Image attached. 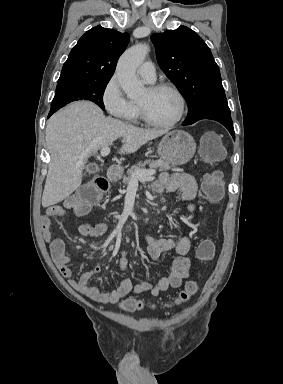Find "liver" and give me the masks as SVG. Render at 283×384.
<instances>
[{
    "label": "liver",
    "instance_id": "1",
    "mask_svg": "<svg viewBox=\"0 0 283 384\" xmlns=\"http://www.w3.org/2000/svg\"><path fill=\"white\" fill-rule=\"evenodd\" d=\"M168 130H143L114 118L86 100L69 104L51 116L46 126V144L51 156L42 196L43 208L59 204L82 182L87 158L122 138L119 154H134L141 146Z\"/></svg>",
    "mask_w": 283,
    "mask_h": 384
}]
</instances>
